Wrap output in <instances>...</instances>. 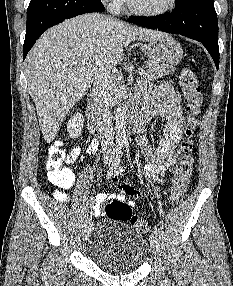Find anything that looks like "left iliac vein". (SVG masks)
<instances>
[{
  "label": "left iliac vein",
  "mask_w": 233,
  "mask_h": 286,
  "mask_svg": "<svg viewBox=\"0 0 233 286\" xmlns=\"http://www.w3.org/2000/svg\"><path fill=\"white\" fill-rule=\"evenodd\" d=\"M150 245L155 252H159L160 248V241L156 234H151L150 236Z\"/></svg>",
  "instance_id": "left-iliac-vein-1"
}]
</instances>
